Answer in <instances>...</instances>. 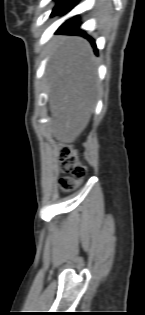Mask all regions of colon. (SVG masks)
<instances>
[{
  "instance_id": "5ec220e1",
  "label": "colon",
  "mask_w": 145,
  "mask_h": 315,
  "mask_svg": "<svg viewBox=\"0 0 145 315\" xmlns=\"http://www.w3.org/2000/svg\"><path fill=\"white\" fill-rule=\"evenodd\" d=\"M60 160L70 176L60 180V187L63 192H70L76 186L79 180L86 175V167L80 163L77 152L70 146H64L60 151Z\"/></svg>"
}]
</instances>
